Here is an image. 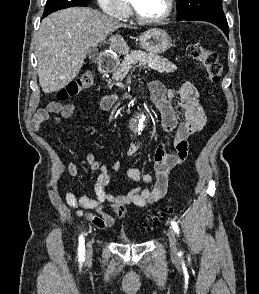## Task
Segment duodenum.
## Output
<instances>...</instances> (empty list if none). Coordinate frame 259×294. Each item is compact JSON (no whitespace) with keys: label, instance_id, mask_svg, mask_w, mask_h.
Masks as SVG:
<instances>
[{"label":"duodenum","instance_id":"1","mask_svg":"<svg viewBox=\"0 0 259 294\" xmlns=\"http://www.w3.org/2000/svg\"><path fill=\"white\" fill-rule=\"evenodd\" d=\"M116 65V59L111 55H105L101 57L98 61V66L102 73L111 72L112 70H114Z\"/></svg>","mask_w":259,"mask_h":294}]
</instances>
